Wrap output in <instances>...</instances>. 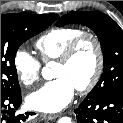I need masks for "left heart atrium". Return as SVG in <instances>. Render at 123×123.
Listing matches in <instances>:
<instances>
[{
	"mask_svg": "<svg viewBox=\"0 0 123 123\" xmlns=\"http://www.w3.org/2000/svg\"><path fill=\"white\" fill-rule=\"evenodd\" d=\"M75 87L66 77L52 80L27 97L30 108L46 113H54L67 106L73 96Z\"/></svg>",
	"mask_w": 123,
	"mask_h": 123,
	"instance_id": "39dd6f15",
	"label": "left heart atrium"
}]
</instances>
